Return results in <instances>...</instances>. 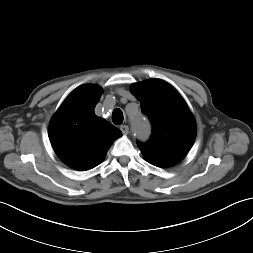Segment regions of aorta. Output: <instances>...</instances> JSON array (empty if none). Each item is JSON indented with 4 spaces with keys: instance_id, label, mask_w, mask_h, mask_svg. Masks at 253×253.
<instances>
[{
    "instance_id": "762f6f07",
    "label": "aorta",
    "mask_w": 253,
    "mask_h": 253,
    "mask_svg": "<svg viewBox=\"0 0 253 253\" xmlns=\"http://www.w3.org/2000/svg\"><path fill=\"white\" fill-rule=\"evenodd\" d=\"M131 130L135 139L146 141L151 134V127L148 119L141 113H137L131 120Z\"/></svg>"
}]
</instances>
